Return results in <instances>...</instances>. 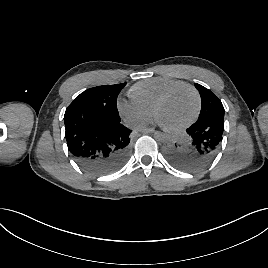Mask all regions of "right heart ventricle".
<instances>
[{"instance_id":"right-heart-ventricle-1","label":"right heart ventricle","mask_w":268,"mask_h":268,"mask_svg":"<svg viewBox=\"0 0 268 268\" xmlns=\"http://www.w3.org/2000/svg\"><path fill=\"white\" fill-rule=\"evenodd\" d=\"M182 83L180 80L155 77L135 83L129 90L131 100L153 112L158 99L171 87Z\"/></svg>"}]
</instances>
